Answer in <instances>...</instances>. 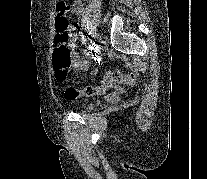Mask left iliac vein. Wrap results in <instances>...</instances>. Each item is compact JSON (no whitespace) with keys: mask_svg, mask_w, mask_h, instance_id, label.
<instances>
[{"mask_svg":"<svg viewBox=\"0 0 207 179\" xmlns=\"http://www.w3.org/2000/svg\"><path fill=\"white\" fill-rule=\"evenodd\" d=\"M104 45H105V42L100 40V41H99V50L96 51V57H97V58H101V57H102L101 52H102V50L104 49Z\"/></svg>","mask_w":207,"mask_h":179,"instance_id":"left-iliac-vein-1","label":"left iliac vein"}]
</instances>
